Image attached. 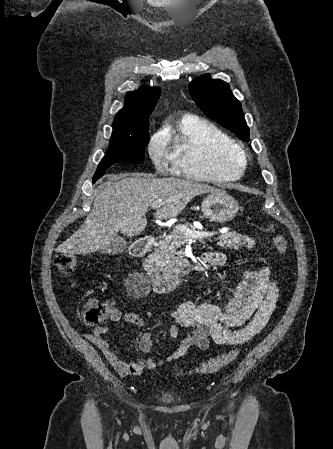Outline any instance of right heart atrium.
<instances>
[{"mask_svg": "<svg viewBox=\"0 0 333 449\" xmlns=\"http://www.w3.org/2000/svg\"><path fill=\"white\" fill-rule=\"evenodd\" d=\"M166 145L167 142L161 134L154 135L148 144L149 156L155 166L159 169L169 161Z\"/></svg>", "mask_w": 333, "mask_h": 449, "instance_id": "right-heart-atrium-1", "label": "right heart atrium"}]
</instances>
